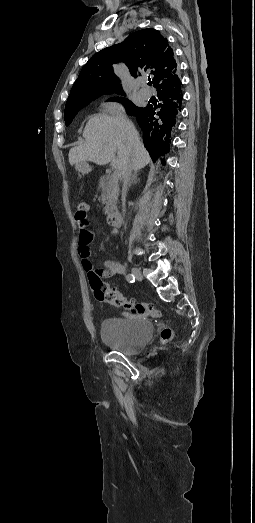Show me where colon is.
Returning a JSON list of instances; mask_svg holds the SVG:
<instances>
[{"label":"colon","mask_w":255,"mask_h":523,"mask_svg":"<svg viewBox=\"0 0 255 523\" xmlns=\"http://www.w3.org/2000/svg\"><path fill=\"white\" fill-rule=\"evenodd\" d=\"M89 204L85 201H80L76 207L75 219L79 225L87 224V213ZM90 286L93 290L94 296L97 300L107 303L117 308H123L129 312L138 315H153L159 316L160 312L152 305L128 298L120 292L109 288L100 278L96 272L88 274ZM173 337V331L170 328H164L160 333V340L162 343L170 341Z\"/></svg>","instance_id":"obj_1"}]
</instances>
